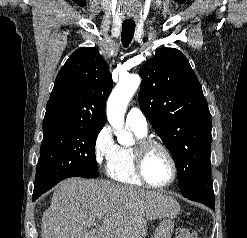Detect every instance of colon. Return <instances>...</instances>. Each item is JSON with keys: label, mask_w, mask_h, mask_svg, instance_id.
I'll return each mask as SVG.
<instances>
[{"label": "colon", "mask_w": 247, "mask_h": 238, "mask_svg": "<svg viewBox=\"0 0 247 238\" xmlns=\"http://www.w3.org/2000/svg\"><path fill=\"white\" fill-rule=\"evenodd\" d=\"M176 238H199L196 231L190 228H179L176 231Z\"/></svg>", "instance_id": "colon-1"}]
</instances>
